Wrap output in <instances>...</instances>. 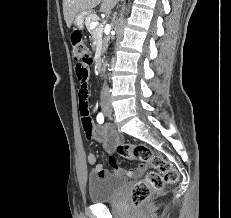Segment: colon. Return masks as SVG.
Returning a JSON list of instances; mask_svg holds the SVG:
<instances>
[{"label":"colon","mask_w":231,"mask_h":218,"mask_svg":"<svg viewBox=\"0 0 231 218\" xmlns=\"http://www.w3.org/2000/svg\"><path fill=\"white\" fill-rule=\"evenodd\" d=\"M70 40L74 59L91 61L90 50L84 42L82 34L79 31H74ZM117 152L123 158L137 159L155 170L149 172L133 186L130 200L134 206L141 205L151 194L160 191L165 185L178 181L179 174L173 165L144 144H120L117 147Z\"/></svg>","instance_id":"1"}]
</instances>
